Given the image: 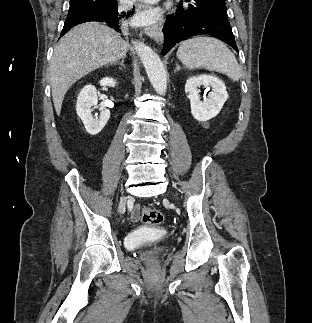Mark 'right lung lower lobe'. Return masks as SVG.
Listing matches in <instances>:
<instances>
[{"label": "right lung lower lobe", "mask_w": 312, "mask_h": 323, "mask_svg": "<svg viewBox=\"0 0 312 323\" xmlns=\"http://www.w3.org/2000/svg\"><path fill=\"white\" fill-rule=\"evenodd\" d=\"M132 12L119 11L115 0H104L90 6H79L69 10L61 36L73 26L90 21L105 22L121 32L129 28Z\"/></svg>", "instance_id": "1"}]
</instances>
